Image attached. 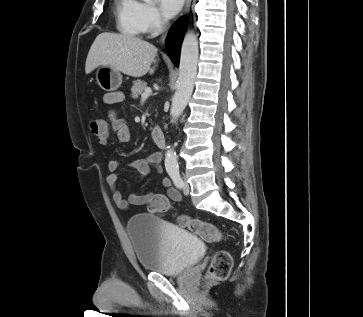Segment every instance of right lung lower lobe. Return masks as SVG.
<instances>
[{
	"label": "right lung lower lobe",
	"mask_w": 363,
	"mask_h": 317,
	"mask_svg": "<svg viewBox=\"0 0 363 317\" xmlns=\"http://www.w3.org/2000/svg\"><path fill=\"white\" fill-rule=\"evenodd\" d=\"M186 22L177 21L175 22L169 32L166 39V49L173 62L177 64L180 56V48L185 33Z\"/></svg>",
	"instance_id": "1"
}]
</instances>
